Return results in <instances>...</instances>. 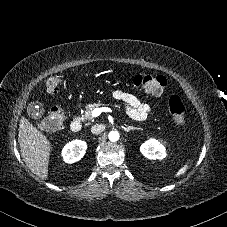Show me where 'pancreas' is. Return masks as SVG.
I'll list each match as a JSON object with an SVG mask.
<instances>
[{"label":"pancreas","instance_id":"pancreas-1","mask_svg":"<svg viewBox=\"0 0 227 227\" xmlns=\"http://www.w3.org/2000/svg\"><path fill=\"white\" fill-rule=\"evenodd\" d=\"M103 104H101L100 102L98 103H94V104H89L86 106V110H85V113L82 115L81 119L82 121H86V120H89V121H93L94 120V117L92 116V111L96 108H99L100 106H102ZM115 108H117L118 110H120V106L119 105H114Z\"/></svg>","mask_w":227,"mask_h":227}]
</instances>
